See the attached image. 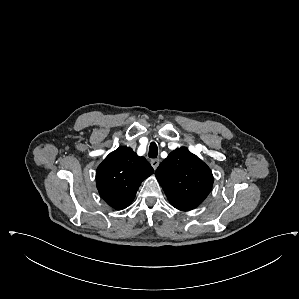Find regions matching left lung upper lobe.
Returning a JSON list of instances; mask_svg holds the SVG:
<instances>
[{"label": "left lung upper lobe", "mask_w": 299, "mask_h": 299, "mask_svg": "<svg viewBox=\"0 0 299 299\" xmlns=\"http://www.w3.org/2000/svg\"><path fill=\"white\" fill-rule=\"evenodd\" d=\"M155 175L169 202L178 210L196 208L208 196L213 185L210 168L186 149L171 152Z\"/></svg>", "instance_id": "obj_1"}]
</instances>
